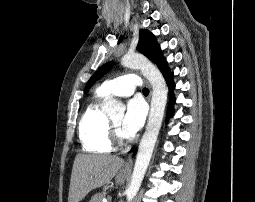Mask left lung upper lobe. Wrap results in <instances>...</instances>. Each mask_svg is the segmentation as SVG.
I'll return each mask as SVG.
<instances>
[{
    "label": "left lung upper lobe",
    "instance_id": "left-lung-upper-lobe-1",
    "mask_svg": "<svg viewBox=\"0 0 255 202\" xmlns=\"http://www.w3.org/2000/svg\"><path fill=\"white\" fill-rule=\"evenodd\" d=\"M138 50L157 64L165 79L173 74L170 72L165 58L162 57L160 46L158 45L154 35L146 29L140 30ZM112 65L113 62H108L96 71V73L89 79L85 88V93L96 80L111 69Z\"/></svg>",
    "mask_w": 255,
    "mask_h": 202
}]
</instances>
